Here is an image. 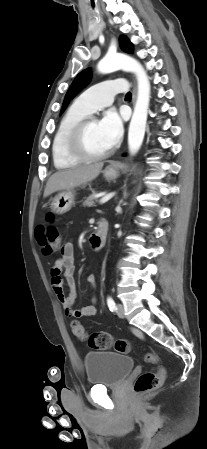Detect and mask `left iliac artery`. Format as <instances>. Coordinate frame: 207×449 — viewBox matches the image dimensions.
Instances as JSON below:
<instances>
[{"mask_svg": "<svg viewBox=\"0 0 207 449\" xmlns=\"http://www.w3.org/2000/svg\"><path fill=\"white\" fill-rule=\"evenodd\" d=\"M107 305H108L110 311L114 312L117 310L116 304L112 297L107 298Z\"/></svg>", "mask_w": 207, "mask_h": 449, "instance_id": "left-iliac-artery-1", "label": "left iliac artery"}]
</instances>
